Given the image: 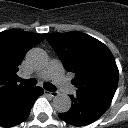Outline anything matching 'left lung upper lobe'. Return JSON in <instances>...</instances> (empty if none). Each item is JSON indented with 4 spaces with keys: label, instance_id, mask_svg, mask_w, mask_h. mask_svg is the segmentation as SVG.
I'll use <instances>...</instances> for the list:
<instances>
[{
    "label": "left lung upper lobe",
    "instance_id": "5c2ea615",
    "mask_svg": "<svg viewBox=\"0 0 128 128\" xmlns=\"http://www.w3.org/2000/svg\"><path fill=\"white\" fill-rule=\"evenodd\" d=\"M46 37L65 69L76 74L72 83L77 87V93L114 96L119 71L106 45L76 31L51 33Z\"/></svg>",
    "mask_w": 128,
    "mask_h": 128
}]
</instances>
